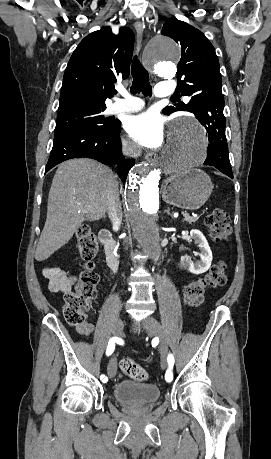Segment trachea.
<instances>
[{
	"mask_svg": "<svg viewBox=\"0 0 271 459\" xmlns=\"http://www.w3.org/2000/svg\"><path fill=\"white\" fill-rule=\"evenodd\" d=\"M131 74L133 78V83L130 88L131 93L135 95L136 93L142 92L146 96H151L152 87L149 82V74L137 56L132 60Z\"/></svg>",
	"mask_w": 271,
	"mask_h": 459,
	"instance_id": "1",
	"label": "trachea"
}]
</instances>
